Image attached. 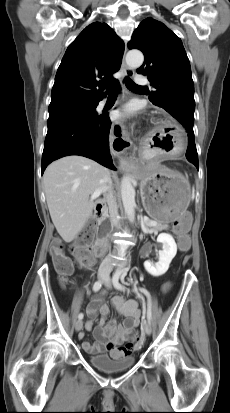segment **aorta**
I'll return each mask as SVG.
<instances>
[{
  "instance_id": "1",
  "label": "aorta",
  "mask_w": 230,
  "mask_h": 413,
  "mask_svg": "<svg viewBox=\"0 0 230 413\" xmlns=\"http://www.w3.org/2000/svg\"><path fill=\"white\" fill-rule=\"evenodd\" d=\"M144 61V56L139 50H131L126 55V63L130 68H139ZM135 189L133 178L130 175L123 176L121 180V197L122 203L129 220H135Z\"/></svg>"
}]
</instances>
